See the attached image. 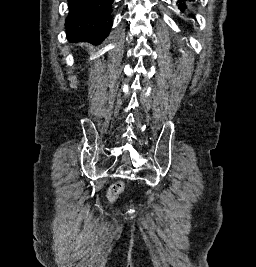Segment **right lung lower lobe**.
I'll list each match as a JSON object with an SVG mask.
<instances>
[{"mask_svg":"<svg viewBox=\"0 0 256 267\" xmlns=\"http://www.w3.org/2000/svg\"><path fill=\"white\" fill-rule=\"evenodd\" d=\"M114 0H68L67 38L71 42L100 44L109 34Z\"/></svg>","mask_w":256,"mask_h":267,"instance_id":"98d812e1","label":"right lung lower lobe"}]
</instances>
